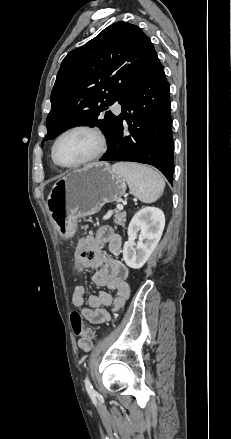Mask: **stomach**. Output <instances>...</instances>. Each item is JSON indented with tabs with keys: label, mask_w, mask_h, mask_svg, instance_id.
Listing matches in <instances>:
<instances>
[{
	"label": "stomach",
	"mask_w": 231,
	"mask_h": 439,
	"mask_svg": "<svg viewBox=\"0 0 231 439\" xmlns=\"http://www.w3.org/2000/svg\"><path fill=\"white\" fill-rule=\"evenodd\" d=\"M126 188L125 179L104 162L92 163L58 180L48 195L47 208L59 235L72 237L80 218L118 201Z\"/></svg>",
	"instance_id": "stomach-1"
}]
</instances>
